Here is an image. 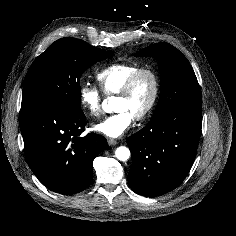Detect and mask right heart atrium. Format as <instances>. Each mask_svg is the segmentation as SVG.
I'll return each mask as SVG.
<instances>
[{"instance_id": "1", "label": "right heart atrium", "mask_w": 236, "mask_h": 236, "mask_svg": "<svg viewBox=\"0 0 236 236\" xmlns=\"http://www.w3.org/2000/svg\"><path fill=\"white\" fill-rule=\"evenodd\" d=\"M81 105L94 117L102 114V95L97 87L84 84L79 89Z\"/></svg>"}]
</instances>
